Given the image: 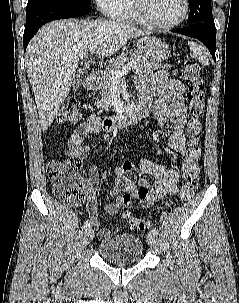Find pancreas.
Returning <instances> with one entry per match:
<instances>
[{
    "instance_id": "cf45deb5",
    "label": "pancreas",
    "mask_w": 239,
    "mask_h": 303,
    "mask_svg": "<svg viewBox=\"0 0 239 303\" xmlns=\"http://www.w3.org/2000/svg\"><path fill=\"white\" fill-rule=\"evenodd\" d=\"M131 55L130 60H127L126 54L122 53L121 56L110 65L111 68L115 70H120L125 66L126 61H134L137 65L133 68L134 71L144 74H152L154 71H159L161 77H165L168 73L166 72L171 67L169 65H161L152 60L145 58L140 52L136 50H130ZM162 69V71H160ZM114 79L109 69H106L101 73L100 80L98 82V88L102 89L100 92L101 99H96L95 105L98 108L104 109L105 111H110L113 107V88Z\"/></svg>"
}]
</instances>
